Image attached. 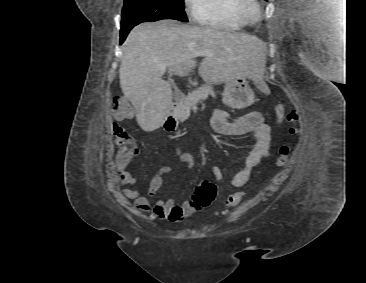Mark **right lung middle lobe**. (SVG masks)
Masks as SVG:
<instances>
[{"label":"right lung middle lobe","instance_id":"dd1d6c3e","mask_svg":"<svg viewBox=\"0 0 366 283\" xmlns=\"http://www.w3.org/2000/svg\"><path fill=\"white\" fill-rule=\"evenodd\" d=\"M161 19L187 22L184 0H124L121 26Z\"/></svg>","mask_w":366,"mask_h":283}]
</instances>
